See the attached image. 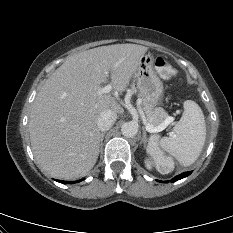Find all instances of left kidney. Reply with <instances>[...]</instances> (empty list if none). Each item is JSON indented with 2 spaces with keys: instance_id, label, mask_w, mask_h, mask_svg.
Segmentation results:
<instances>
[{
  "instance_id": "left-kidney-1",
  "label": "left kidney",
  "mask_w": 233,
  "mask_h": 233,
  "mask_svg": "<svg viewBox=\"0 0 233 233\" xmlns=\"http://www.w3.org/2000/svg\"><path fill=\"white\" fill-rule=\"evenodd\" d=\"M145 165L147 167V169H152L153 165H152V162L149 160V159H146L145 160Z\"/></svg>"
}]
</instances>
